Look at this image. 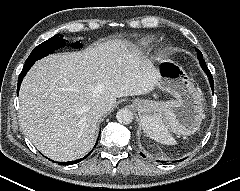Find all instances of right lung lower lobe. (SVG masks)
<instances>
[{
	"mask_svg": "<svg viewBox=\"0 0 240 191\" xmlns=\"http://www.w3.org/2000/svg\"><path fill=\"white\" fill-rule=\"evenodd\" d=\"M34 63H30V64H25L20 75H19V79H18V84H17V93L19 91V88H20V85H21V82L23 80V78L25 77L26 73L28 72V70L31 68V66L33 65ZM98 142V140H97ZM97 145V143H96ZM95 145V146H96ZM91 153V152H90ZM90 153H88L86 156H84L82 159H78V160H75V161H70V162H59V164H63V165H73V164H76L80 161H82L83 159H85Z\"/></svg>",
	"mask_w": 240,
	"mask_h": 191,
	"instance_id": "1",
	"label": "right lung lower lobe"
}]
</instances>
